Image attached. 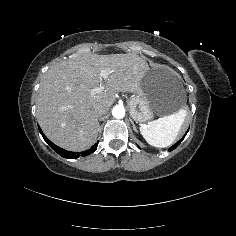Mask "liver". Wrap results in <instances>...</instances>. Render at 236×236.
Returning <instances> with one entry per match:
<instances>
[{
	"mask_svg": "<svg viewBox=\"0 0 236 236\" xmlns=\"http://www.w3.org/2000/svg\"><path fill=\"white\" fill-rule=\"evenodd\" d=\"M112 72L108 79L101 70ZM149 70L148 63L134 53L97 55L85 53L56 63L43 75L36 101V118L46 137L61 148L84 151L99 132L96 110L106 114L116 92H134ZM105 90L91 95V89Z\"/></svg>",
	"mask_w": 236,
	"mask_h": 236,
	"instance_id": "liver-1",
	"label": "liver"
}]
</instances>
